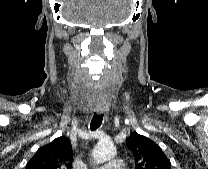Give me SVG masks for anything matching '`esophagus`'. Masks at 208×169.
Returning <instances> with one entry per match:
<instances>
[{"label":"esophagus","instance_id":"1","mask_svg":"<svg viewBox=\"0 0 208 169\" xmlns=\"http://www.w3.org/2000/svg\"><path fill=\"white\" fill-rule=\"evenodd\" d=\"M95 110H96V112H97L98 114H104V113H107V112H108L109 108H108L107 105H104V106H97V107L95 108Z\"/></svg>","mask_w":208,"mask_h":169}]
</instances>
